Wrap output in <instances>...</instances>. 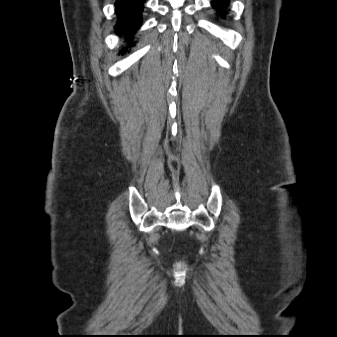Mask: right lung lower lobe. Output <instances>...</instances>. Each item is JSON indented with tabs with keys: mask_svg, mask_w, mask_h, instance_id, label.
Masks as SVG:
<instances>
[{
	"mask_svg": "<svg viewBox=\"0 0 337 337\" xmlns=\"http://www.w3.org/2000/svg\"><path fill=\"white\" fill-rule=\"evenodd\" d=\"M144 2L145 0L116 1L115 11L118 15V22L115 28L118 31V34H123L128 41L141 26V13ZM132 45L133 44H129L125 49H122V53L127 51V48Z\"/></svg>",
	"mask_w": 337,
	"mask_h": 337,
	"instance_id": "1",
	"label": "right lung lower lobe"
}]
</instances>
